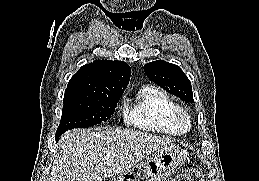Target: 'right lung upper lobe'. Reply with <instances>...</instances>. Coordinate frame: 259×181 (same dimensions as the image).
<instances>
[{"instance_id": "right-lung-upper-lobe-1", "label": "right lung upper lobe", "mask_w": 259, "mask_h": 181, "mask_svg": "<svg viewBox=\"0 0 259 181\" xmlns=\"http://www.w3.org/2000/svg\"><path fill=\"white\" fill-rule=\"evenodd\" d=\"M130 67L122 61L96 60L82 66L68 82L66 92L122 95L130 79Z\"/></svg>"}]
</instances>
